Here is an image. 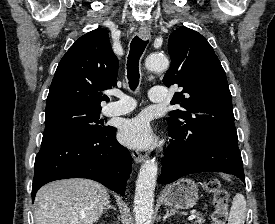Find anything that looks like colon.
<instances>
[{"instance_id": "colon-1", "label": "colon", "mask_w": 275, "mask_h": 224, "mask_svg": "<svg viewBox=\"0 0 275 224\" xmlns=\"http://www.w3.org/2000/svg\"><path fill=\"white\" fill-rule=\"evenodd\" d=\"M204 186L213 197V224H225L227 220V206L229 202L228 193L221 187L220 182L215 178L206 179L204 181Z\"/></svg>"}]
</instances>
